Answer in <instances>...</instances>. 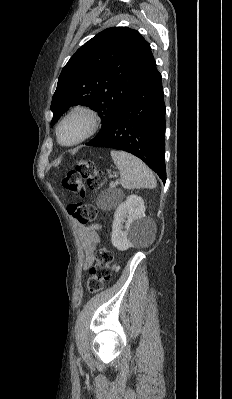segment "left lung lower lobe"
<instances>
[{
	"label": "left lung lower lobe",
	"mask_w": 232,
	"mask_h": 399,
	"mask_svg": "<svg viewBox=\"0 0 232 399\" xmlns=\"http://www.w3.org/2000/svg\"><path fill=\"white\" fill-rule=\"evenodd\" d=\"M165 103L161 74L150 51L138 79L106 134L89 146L129 152L165 183Z\"/></svg>",
	"instance_id": "obj_1"
}]
</instances>
